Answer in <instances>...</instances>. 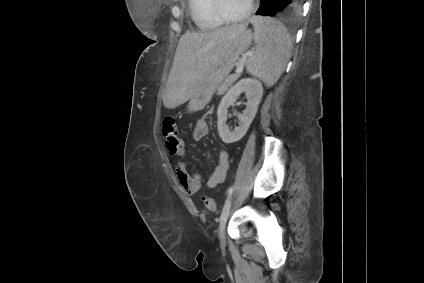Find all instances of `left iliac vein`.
Masks as SVG:
<instances>
[{"instance_id": "obj_1", "label": "left iliac vein", "mask_w": 424, "mask_h": 283, "mask_svg": "<svg viewBox=\"0 0 424 283\" xmlns=\"http://www.w3.org/2000/svg\"><path fill=\"white\" fill-rule=\"evenodd\" d=\"M232 207V199L227 200L219 219V238L222 244H225V226Z\"/></svg>"}]
</instances>
